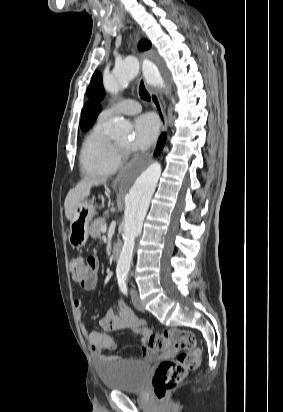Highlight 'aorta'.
Masks as SVG:
<instances>
[{"label":"aorta","instance_id":"1","mask_svg":"<svg viewBox=\"0 0 283 412\" xmlns=\"http://www.w3.org/2000/svg\"><path fill=\"white\" fill-rule=\"evenodd\" d=\"M140 67L147 83L154 86H164V81L156 64L144 59L142 62L135 58L124 60L113 75L103 80L106 91L115 94L119 89L127 87L129 82L137 77ZM130 130V124L123 118L112 122L110 136L120 137ZM161 174V166L153 163L143 168L128 171L122 180L121 191L125 197V219L123 228V246L117 262V277H125L131 267L135 239L142 231L143 221L149 208L152 195L156 189Z\"/></svg>","mask_w":283,"mask_h":412}]
</instances>
